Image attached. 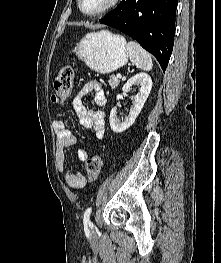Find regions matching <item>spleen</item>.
Returning a JSON list of instances; mask_svg holds the SVG:
<instances>
[{"instance_id": "spleen-1", "label": "spleen", "mask_w": 221, "mask_h": 263, "mask_svg": "<svg viewBox=\"0 0 221 263\" xmlns=\"http://www.w3.org/2000/svg\"><path fill=\"white\" fill-rule=\"evenodd\" d=\"M127 53L130 61L135 64L139 69L150 71L153 67L152 59L137 42L130 41L127 43Z\"/></svg>"}]
</instances>
